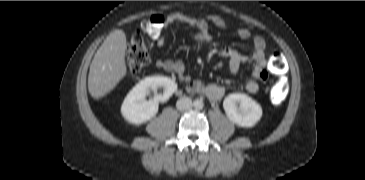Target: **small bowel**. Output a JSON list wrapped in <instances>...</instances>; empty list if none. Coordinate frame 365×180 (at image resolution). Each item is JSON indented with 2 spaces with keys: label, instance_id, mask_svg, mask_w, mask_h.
<instances>
[{
  "label": "small bowel",
  "instance_id": "c3829d8e",
  "mask_svg": "<svg viewBox=\"0 0 365 180\" xmlns=\"http://www.w3.org/2000/svg\"><path fill=\"white\" fill-rule=\"evenodd\" d=\"M208 22L222 30L227 28L226 21L217 15H211L208 19H198L179 12L169 14L165 18V28L163 32L155 38L156 45L158 47H162L164 45L165 29L175 23H182L195 28L196 39L202 42H209L212 40V36L209 31ZM237 34L241 39L251 41L253 45V53L250 56H246L232 47H223L220 49V54L228 61L229 69L233 74L238 73L243 64L248 63L251 65L252 79L246 83L245 90L249 94H256L260 88L259 81L265 82L268 77L266 72L267 59L265 41L261 36H253L251 31L247 28H240L237 31ZM156 65L166 71L174 72L181 82L187 84V90L189 92L204 94L212 101L220 100L225 93L224 86L220 84L191 80L190 76L185 71L183 63L180 61L159 59L157 60Z\"/></svg>",
  "mask_w": 365,
  "mask_h": 180
}]
</instances>
